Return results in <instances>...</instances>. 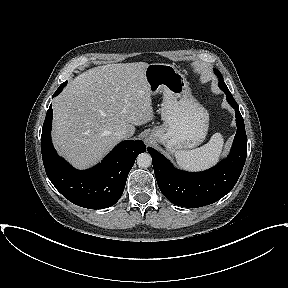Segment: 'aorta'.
I'll use <instances>...</instances> for the list:
<instances>
[{"instance_id": "aorta-1", "label": "aorta", "mask_w": 288, "mask_h": 288, "mask_svg": "<svg viewBox=\"0 0 288 288\" xmlns=\"http://www.w3.org/2000/svg\"><path fill=\"white\" fill-rule=\"evenodd\" d=\"M136 160H137V165L140 168H148L152 163V158L150 154L147 152L139 154Z\"/></svg>"}]
</instances>
